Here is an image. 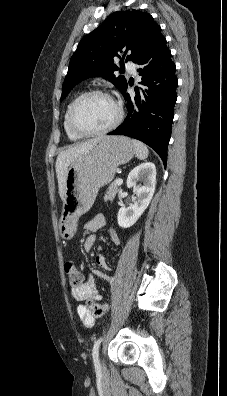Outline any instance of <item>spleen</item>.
<instances>
[{
  "label": "spleen",
  "mask_w": 227,
  "mask_h": 396,
  "mask_svg": "<svg viewBox=\"0 0 227 396\" xmlns=\"http://www.w3.org/2000/svg\"><path fill=\"white\" fill-rule=\"evenodd\" d=\"M132 143L135 147V153L137 158H139L140 160H144L148 157L149 150L145 144L138 140H132Z\"/></svg>",
  "instance_id": "spleen-1"
}]
</instances>
